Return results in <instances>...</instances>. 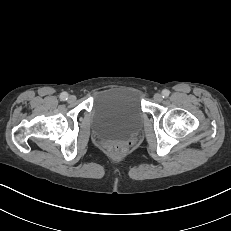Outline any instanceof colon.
Instances as JSON below:
<instances>
[{
    "mask_svg": "<svg viewBox=\"0 0 231 231\" xmlns=\"http://www.w3.org/2000/svg\"><path fill=\"white\" fill-rule=\"evenodd\" d=\"M108 150L112 155L120 156L127 151V145L122 142H113L108 146Z\"/></svg>",
    "mask_w": 231,
    "mask_h": 231,
    "instance_id": "1",
    "label": "colon"
}]
</instances>
